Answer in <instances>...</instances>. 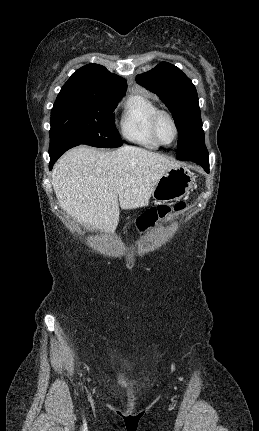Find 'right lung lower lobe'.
Returning <instances> with one entry per match:
<instances>
[{
  "label": "right lung lower lobe",
  "mask_w": 259,
  "mask_h": 431,
  "mask_svg": "<svg viewBox=\"0 0 259 431\" xmlns=\"http://www.w3.org/2000/svg\"><path fill=\"white\" fill-rule=\"evenodd\" d=\"M74 147L73 145H63L60 147H57L55 149H51L49 150V155H50V163H49V168L52 169L53 164L57 161V159L64 153L66 152L68 149Z\"/></svg>",
  "instance_id": "1"
}]
</instances>
